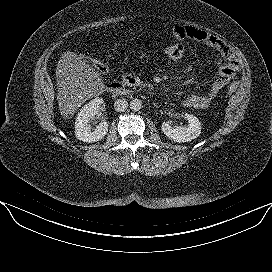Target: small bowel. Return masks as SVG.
<instances>
[{"instance_id": "c3829d8e", "label": "small bowel", "mask_w": 272, "mask_h": 272, "mask_svg": "<svg viewBox=\"0 0 272 272\" xmlns=\"http://www.w3.org/2000/svg\"><path fill=\"white\" fill-rule=\"evenodd\" d=\"M176 40L193 39L210 47L215 54L218 76L205 94H190L183 100V106L194 109H206L217 97L219 92L233 79L239 69V63L234 52L217 36L206 30L177 25L172 31Z\"/></svg>"}]
</instances>
